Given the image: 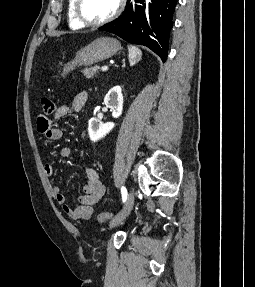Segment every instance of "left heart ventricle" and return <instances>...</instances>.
<instances>
[{"mask_svg": "<svg viewBox=\"0 0 255 287\" xmlns=\"http://www.w3.org/2000/svg\"><path fill=\"white\" fill-rule=\"evenodd\" d=\"M95 33H109V32H95ZM100 39H107V38H100ZM104 48H119V47H104ZM134 48V47H130Z\"/></svg>", "mask_w": 255, "mask_h": 287, "instance_id": "1", "label": "left heart ventricle"}]
</instances>
